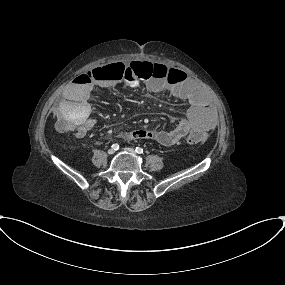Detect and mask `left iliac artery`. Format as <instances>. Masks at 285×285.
<instances>
[{
  "label": "left iliac artery",
  "mask_w": 285,
  "mask_h": 285,
  "mask_svg": "<svg viewBox=\"0 0 285 285\" xmlns=\"http://www.w3.org/2000/svg\"><path fill=\"white\" fill-rule=\"evenodd\" d=\"M135 151L138 153V154H143V149L141 147H136L135 148Z\"/></svg>",
  "instance_id": "left-iliac-artery-1"
}]
</instances>
